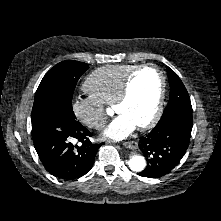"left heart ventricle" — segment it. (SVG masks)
<instances>
[{
  "label": "left heart ventricle",
  "instance_id": "b2bd125f",
  "mask_svg": "<svg viewBox=\"0 0 221 221\" xmlns=\"http://www.w3.org/2000/svg\"><path fill=\"white\" fill-rule=\"evenodd\" d=\"M161 89V78L155 69L148 68L139 72L131 86L128 100L117 112L126 115L136 126L149 121L153 116Z\"/></svg>",
  "mask_w": 221,
  "mask_h": 221
}]
</instances>
